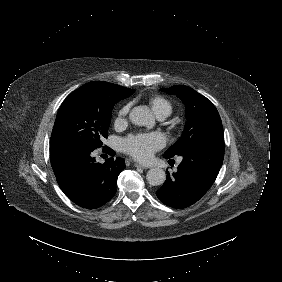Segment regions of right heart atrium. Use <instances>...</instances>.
I'll return each instance as SVG.
<instances>
[{
  "instance_id": "d8ad5b80",
  "label": "right heart atrium",
  "mask_w": 282,
  "mask_h": 282,
  "mask_svg": "<svg viewBox=\"0 0 282 282\" xmlns=\"http://www.w3.org/2000/svg\"><path fill=\"white\" fill-rule=\"evenodd\" d=\"M128 108L124 107L120 112H119V117L118 120H121V118L127 113Z\"/></svg>"
}]
</instances>
